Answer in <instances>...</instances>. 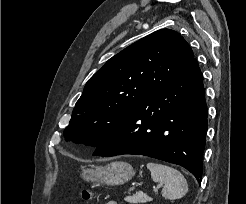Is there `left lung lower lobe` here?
Returning a JSON list of instances; mask_svg holds the SVG:
<instances>
[{
    "instance_id": "obj_1",
    "label": "left lung lower lobe",
    "mask_w": 246,
    "mask_h": 204,
    "mask_svg": "<svg viewBox=\"0 0 246 204\" xmlns=\"http://www.w3.org/2000/svg\"><path fill=\"white\" fill-rule=\"evenodd\" d=\"M206 132L203 76L193 58L123 118L93 155L149 156L178 164L201 182Z\"/></svg>"
}]
</instances>
